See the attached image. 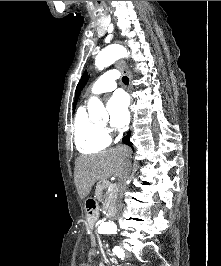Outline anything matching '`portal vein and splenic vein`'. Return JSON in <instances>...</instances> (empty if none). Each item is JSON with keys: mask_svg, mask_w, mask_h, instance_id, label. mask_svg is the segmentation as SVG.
Segmentation results:
<instances>
[{"mask_svg": "<svg viewBox=\"0 0 221 266\" xmlns=\"http://www.w3.org/2000/svg\"><path fill=\"white\" fill-rule=\"evenodd\" d=\"M115 188H116V184H115V183H114V184H111V185H109V187H108V192H111V191H113Z\"/></svg>", "mask_w": 221, "mask_h": 266, "instance_id": "portal-vein-and-splenic-vein-1", "label": "portal vein and splenic vein"}]
</instances>
